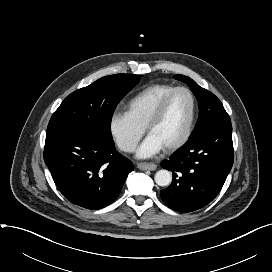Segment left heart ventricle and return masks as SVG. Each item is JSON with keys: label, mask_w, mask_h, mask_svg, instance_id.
<instances>
[{"label": "left heart ventricle", "mask_w": 272, "mask_h": 272, "mask_svg": "<svg viewBox=\"0 0 272 272\" xmlns=\"http://www.w3.org/2000/svg\"><path fill=\"white\" fill-rule=\"evenodd\" d=\"M192 110L191 99L185 92H179L170 100L162 118L151 128L154 135L165 147L178 141L184 134Z\"/></svg>", "instance_id": "obj_1"}]
</instances>
